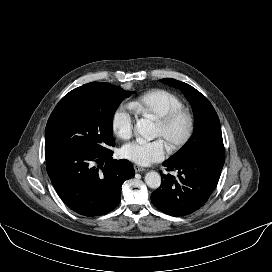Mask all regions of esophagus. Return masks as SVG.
<instances>
[{
	"instance_id": "obj_1",
	"label": "esophagus",
	"mask_w": 272,
	"mask_h": 272,
	"mask_svg": "<svg viewBox=\"0 0 272 272\" xmlns=\"http://www.w3.org/2000/svg\"><path fill=\"white\" fill-rule=\"evenodd\" d=\"M134 170L135 172H144L146 169L141 166L134 165Z\"/></svg>"
}]
</instances>
